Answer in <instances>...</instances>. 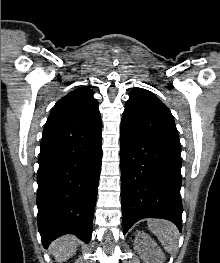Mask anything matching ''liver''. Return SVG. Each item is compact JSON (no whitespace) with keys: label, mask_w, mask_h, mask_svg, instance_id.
<instances>
[{"label":"liver","mask_w":220,"mask_h":263,"mask_svg":"<svg viewBox=\"0 0 220 263\" xmlns=\"http://www.w3.org/2000/svg\"><path fill=\"white\" fill-rule=\"evenodd\" d=\"M78 240L75 236H61L51 244L52 254L57 262H63L73 256L77 250Z\"/></svg>","instance_id":"6515ba94"}]
</instances>
